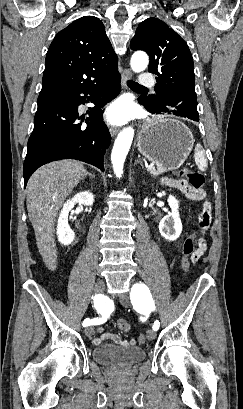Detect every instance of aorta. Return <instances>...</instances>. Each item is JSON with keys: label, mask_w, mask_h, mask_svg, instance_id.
<instances>
[{"label": "aorta", "mask_w": 243, "mask_h": 409, "mask_svg": "<svg viewBox=\"0 0 243 409\" xmlns=\"http://www.w3.org/2000/svg\"><path fill=\"white\" fill-rule=\"evenodd\" d=\"M148 63L149 59L146 53L136 52L131 58L130 65L134 72L139 73L146 69ZM133 137L134 129L132 127H127L118 134L115 140L111 154V162L114 173L118 178L123 174L124 162L131 147Z\"/></svg>", "instance_id": "762f6f07"}]
</instances>
